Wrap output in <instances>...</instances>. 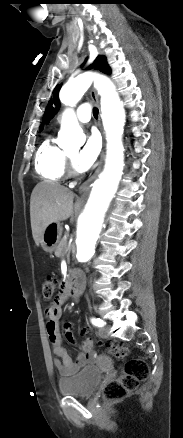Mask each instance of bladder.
<instances>
[{"label": "bladder", "mask_w": 183, "mask_h": 438, "mask_svg": "<svg viewBox=\"0 0 183 438\" xmlns=\"http://www.w3.org/2000/svg\"><path fill=\"white\" fill-rule=\"evenodd\" d=\"M102 380V373L96 367H85L77 374L58 381L59 392L62 395L90 397Z\"/></svg>", "instance_id": "1"}]
</instances>
